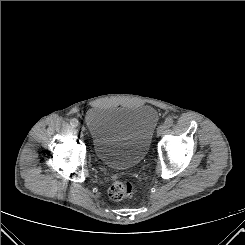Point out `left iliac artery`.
<instances>
[{"mask_svg": "<svg viewBox=\"0 0 245 245\" xmlns=\"http://www.w3.org/2000/svg\"><path fill=\"white\" fill-rule=\"evenodd\" d=\"M173 123H174L173 118L172 117H168V118H166V120L164 122V125H165V127L169 128V127H171L173 125Z\"/></svg>", "mask_w": 245, "mask_h": 245, "instance_id": "1", "label": "left iliac artery"}]
</instances>
